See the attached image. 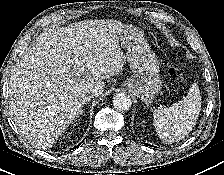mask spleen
Masks as SVG:
<instances>
[{
    "label": "spleen",
    "mask_w": 224,
    "mask_h": 175,
    "mask_svg": "<svg viewBox=\"0 0 224 175\" xmlns=\"http://www.w3.org/2000/svg\"><path fill=\"white\" fill-rule=\"evenodd\" d=\"M201 110L199 86L194 83L186 97L169 108L154 111L155 130L165 143H174L183 139L196 124Z\"/></svg>",
    "instance_id": "obj_1"
}]
</instances>
